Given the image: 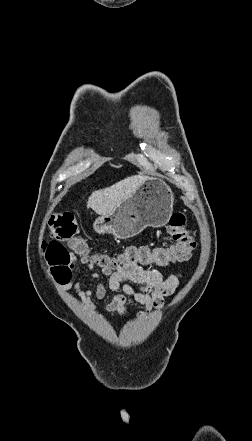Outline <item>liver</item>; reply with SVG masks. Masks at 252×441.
<instances>
[{
    "mask_svg": "<svg viewBox=\"0 0 252 441\" xmlns=\"http://www.w3.org/2000/svg\"><path fill=\"white\" fill-rule=\"evenodd\" d=\"M148 179H150L148 176L134 175L105 189L96 190L89 196L87 208H91L99 215L111 214Z\"/></svg>",
    "mask_w": 252,
    "mask_h": 441,
    "instance_id": "1",
    "label": "liver"
}]
</instances>
